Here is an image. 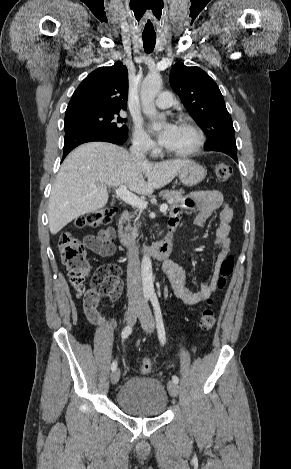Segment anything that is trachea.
Listing matches in <instances>:
<instances>
[{
  "instance_id": "trachea-1",
  "label": "trachea",
  "mask_w": 291,
  "mask_h": 469,
  "mask_svg": "<svg viewBox=\"0 0 291 469\" xmlns=\"http://www.w3.org/2000/svg\"><path fill=\"white\" fill-rule=\"evenodd\" d=\"M156 37H143V47L146 53H151L155 47Z\"/></svg>"
}]
</instances>
